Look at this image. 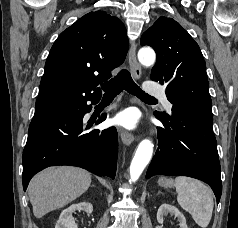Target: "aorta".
Wrapping results in <instances>:
<instances>
[{
  "label": "aorta",
  "mask_w": 238,
  "mask_h": 228,
  "mask_svg": "<svg viewBox=\"0 0 238 228\" xmlns=\"http://www.w3.org/2000/svg\"><path fill=\"white\" fill-rule=\"evenodd\" d=\"M138 60L143 66L150 67L155 63L156 54L152 48L143 47L138 52ZM153 148L154 144L149 139H143L139 143L130 165V182H135L140 177L151 160Z\"/></svg>",
  "instance_id": "762f6f07"
}]
</instances>
